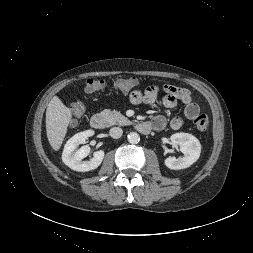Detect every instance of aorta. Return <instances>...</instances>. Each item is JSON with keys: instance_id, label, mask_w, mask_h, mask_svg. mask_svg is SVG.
<instances>
[{"instance_id": "obj_1", "label": "aorta", "mask_w": 253, "mask_h": 253, "mask_svg": "<svg viewBox=\"0 0 253 253\" xmlns=\"http://www.w3.org/2000/svg\"><path fill=\"white\" fill-rule=\"evenodd\" d=\"M127 137L128 142L131 144H136L140 140L139 134L136 132H130Z\"/></svg>"}]
</instances>
